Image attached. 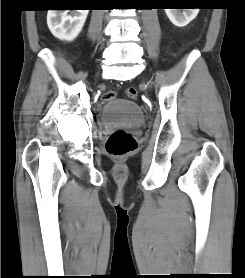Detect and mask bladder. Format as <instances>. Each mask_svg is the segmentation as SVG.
Listing matches in <instances>:
<instances>
[{
    "label": "bladder",
    "instance_id": "bladder-1",
    "mask_svg": "<svg viewBox=\"0 0 245 278\" xmlns=\"http://www.w3.org/2000/svg\"><path fill=\"white\" fill-rule=\"evenodd\" d=\"M104 126L116 125L124 129L141 126L144 118L141 109L133 102L114 98L104 105L101 111Z\"/></svg>",
    "mask_w": 245,
    "mask_h": 278
}]
</instances>
